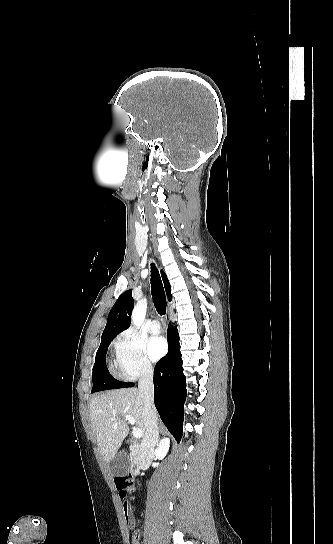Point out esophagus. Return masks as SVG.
<instances>
[{"label": "esophagus", "instance_id": "34e87169", "mask_svg": "<svg viewBox=\"0 0 333 544\" xmlns=\"http://www.w3.org/2000/svg\"><path fill=\"white\" fill-rule=\"evenodd\" d=\"M166 322L169 323L170 321V317L167 315L166 318H165Z\"/></svg>", "mask_w": 333, "mask_h": 544}]
</instances>
